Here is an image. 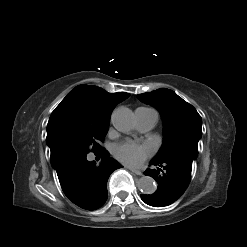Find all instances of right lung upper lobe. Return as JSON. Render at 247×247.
<instances>
[{"label":"right lung upper lobe","mask_w":247,"mask_h":247,"mask_svg":"<svg viewBox=\"0 0 247 247\" xmlns=\"http://www.w3.org/2000/svg\"><path fill=\"white\" fill-rule=\"evenodd\" d=\"M129 96V93H108L104 89L94 85H79L58 106L73 104L83 113L95 118L110 120V115L114 107ZM50 150L53 149L50 148Z\"/></svg>","instance_id":"cb5924a9"}]
</instances>
